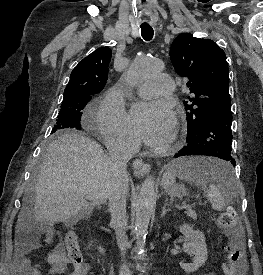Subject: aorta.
<instances>
[{"mask_svg": "<svg viewBox=\"0 0 263 275\" xmlns=\"http://www.w3.org/2000/svg\"><path fill=\"white\" fill-rule=\"evenodd\" d=\"M162 69L163 63L160 60L151 57H138L131 64L124 78L126 84L134 88ZM155 199L154 178L148 177L142 184L136 207L135 235L138 250H143L145 247L148 225L154 210Z\"/></svg>", "mask_w": 263, "mask_h": 275, "instance_id": "762f6f07", "label": "aorta"}]
</instances>
